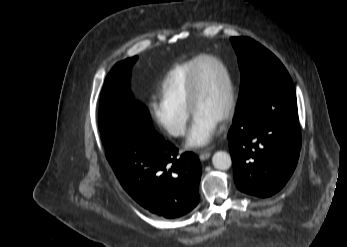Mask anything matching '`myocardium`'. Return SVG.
Wrapping results in <instances>:
<instances>
[{"instance_id":"f54148a6","label":"myocardium","mask_w":347,"mask_h":247,"mask_svg":"<svg viewBox=\"0 0 347 247\" xmlns=\"http://www.w3.org/2000/svg\"><path fill=\"white\" fill-rule=\"evenodd\" d=\"M204 61H212L216 63L222 69L226 77L227 105L219 122L220 123L228 122L233 117L235 112V107H236L235 85H234V81L228 67L225 65V63L221 59L217 58L216 56H212V55L201 56L199 60L197 61V63L193 66L190 73L189 84H188V96H187L188 109L192 115H195V106H196L198 95H199L198 70L200 65Z\"/></svg>"}]
</instances>
